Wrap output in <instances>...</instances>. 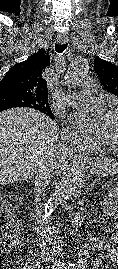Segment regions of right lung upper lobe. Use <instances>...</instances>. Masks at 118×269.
I'll list each match as a JSON object with an SVG mask.
<instances>
[{
  "label": "right lung upper lobe",
  "mask_w": 118,
  "mask_h": 269,
  "mask_svg": "<svg viewBox=\"0 0 118 269\" xmlns=\"http://www.w3.org/2000/svg\"><path fill=\"white\" fill-rule=\"evenodd\" d=\"M49 63V56L41 49L26 61L14 65L0 81V105L5 104L7 96L12 94L28 96L48 104L47 82L42 76ZM41 111L53 118L50 108Z\"/></svg>",
  "instance_id": "obj_1"
}]
</instances>
